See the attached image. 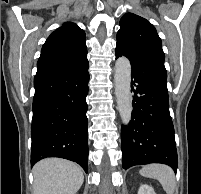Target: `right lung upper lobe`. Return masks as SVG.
<instances>
[{"mask_svg": "<svg viewBox=\"0 0 201 194\" xmlns=\"http://www.w3.org/2000/svg\"><path fill=\"white\" fill-rule=\"evenodd\" d=\"M88 65L85 32L72 22L56 29L42 47L37 73L73 72Z\"/></svg>", "mask_w": 201, "mask_h": 194, "instance_id": "right-lung-upper-lobe-1", "label": "right lung upper lobe"}]
</instances>
